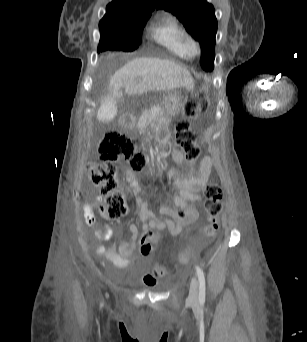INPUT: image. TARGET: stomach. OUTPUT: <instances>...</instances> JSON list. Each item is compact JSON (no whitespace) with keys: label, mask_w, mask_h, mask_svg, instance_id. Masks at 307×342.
I'll return each mask as SVG.
<instances>
[{"label":"stomach","mask_w":307,"mask_h":342,"mask_svg":"<svg viewBox=\"0 0 307 342\" xmlns=\"http://www.w3.org/2000/svg\"><path fill=\"white\" fill-rule=\"evenodd\" d=\"M188 90H182L168 96L164 101V112L167 116H175L184 106Z\"/></svg>","instance_id":"1"}]
</instances>
